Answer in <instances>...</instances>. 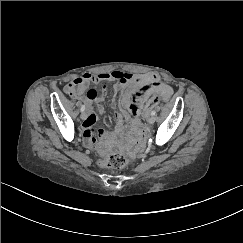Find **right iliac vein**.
I'll return each mask as SVG.
<instances>
[{
    "mask_svg": "<svg viewBox=\"0 0 243 243\" xmlns=\"http://www.w3.org/2000/svg\"><path fill=\"white\" fill-rule=\"evenodd\" d=\"M80 117H81V119L84 120V119L86 118V113L83 111V112L81 113V116H80Z\"/></svg>",
    "mask_w": 243,
    "mask_h": 243,
    "instance_id": "1",
    "label": "right iliac vein"
}]
</instances>
